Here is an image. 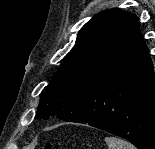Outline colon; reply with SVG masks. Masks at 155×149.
Segmentation results:
<instances>
[{
  "mask_svg": "<svg viewBox=\"0 0 155 149\" xmlns=\"http://www.w3.org/2000/svg\"><path fill=\"white\" fill-rule=\"evenodd\" d=\"M53 145L51 143H45L42 145L41 149H53Z\"/></svg>",
  "mask_w": 155,
  "mask_h": 149,
  "instance_id": "colon-1",
  "label": "colon"
}]
</instances>
